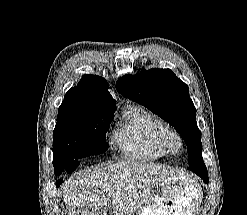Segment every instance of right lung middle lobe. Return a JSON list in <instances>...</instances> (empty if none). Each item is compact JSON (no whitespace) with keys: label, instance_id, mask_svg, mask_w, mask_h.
Returning a JSON list of instances; mask_svg holds the SVG:
<instances>
[{"label":"right lung middle lobe","instance_id":"1","mask_svg":"<svg viewBox=\"0 0 247 215\" xmlns=\"http://www.w3.org/2000/svg\"><path fill=\"white\" fill-rule=\"evenodd\" d=\"M114 110L87 105L66 94L58 109L53 131V165L55 174L72 172L81 161L108 149L105 134Z\"/></svg>","mask_w":247,"mask_h":215}]
</instances>
